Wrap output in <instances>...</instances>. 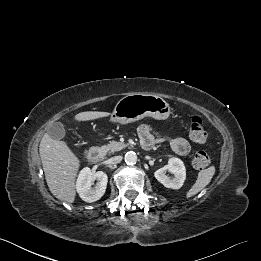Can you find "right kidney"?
<instances>
[{
	"mask_svg": "<svg viewBox=\"0 0 261 261\" xmlns=\"http://www.w3.org/2000/svg\"><path fill=\"white\" fill-rule=\"evenodd\" d=\"M97 180L96 185L92 188L93 182ZM108 177L103 171L92 173L90 168H83L77 178L76 190L82 200L85 202H95L105 193Z\"/></svg>",
	"mask_w": 261,
	"mask_h": 261,
	"instance_id": "1",
	"label": "right kidney"
}]
</instances>
